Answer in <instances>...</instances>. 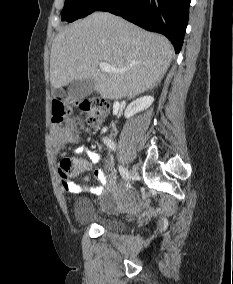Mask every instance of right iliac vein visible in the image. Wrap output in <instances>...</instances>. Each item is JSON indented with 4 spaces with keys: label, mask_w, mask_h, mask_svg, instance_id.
Listing matches in <instances>:
<instances>
[{
    "label": "right iliac vein",
    "mask_w": 233,
    "mask_h": 284,
    "mask_svg": "<svg viewBox=\"0 0 233 284\" xmlns=\"http://www.w3.org/2000/svg\"><path fill=\"white\" fill-rule=\"evenodd\" d=\"M135 179H136V172H129V177H127L128 188H131L132 185H135Z\"/></svg>",
    "instance_id": "63e3f726"
}]
</instances>
